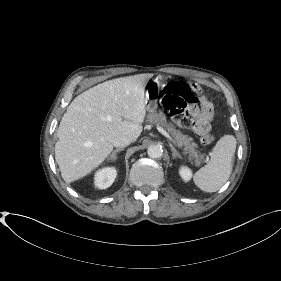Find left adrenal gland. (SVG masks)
I'll use <instances>...</instances> for the list:
<instances>
[{"label":"left adrenal gland","instance_id":"1","mask_svg":"<svg viewBox=\"0 0 281 281\" xmlns=\"http://www.w3.org/2000/svg\"><path fill=\"white\" fill-rule=\"evenodd\" d=\"M169 146H170L171 151H172V158L173 159H176L177 157L181 158V155L178 153V151L175 149V147L171 143L169 144Z\"/></svg>","mask_w":281,"mask_h":281}]
</instances>
